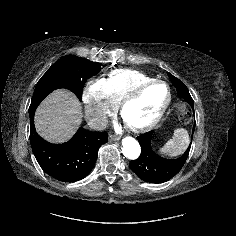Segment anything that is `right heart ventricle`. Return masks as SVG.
I'll return each mask as SVG.
<instances>
[{
  "mask_svg": "<svg viewBox=\"0 0 236 236\" xmlns=\"http://www.w3.org/2000/svg\"><path fill=\"white\" fill-rule=\"evenodd\" d=\"M152 79L154 78L141 71L119 68L110 71L103 80L106 84V91L109 100L114 105H118L121 99L133 88Z\"/></svg>",
  "mask_w": 236,
  "mask_h": 236,
  "instance_id": "1",
  "label": "right heart ventricle"
}]
</instances>
